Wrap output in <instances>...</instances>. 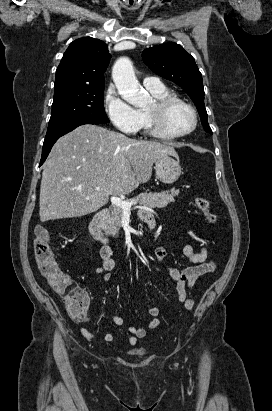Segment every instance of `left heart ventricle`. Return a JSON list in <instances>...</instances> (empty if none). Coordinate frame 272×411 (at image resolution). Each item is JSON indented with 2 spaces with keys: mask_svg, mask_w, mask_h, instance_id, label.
Here are the masks:
<instances>
[{
  "mask_svg": "<svg viewBox=\"0 0 272 411\" xmlns=\"http://www.w3.org/2000/svg\"><path fill=\"white\" fill-rule=\"evenodd\" d=\"M192 122L191 112L183 105H175L169 110L165 118V127L169 132L181 133L188 130Z\"/></svg>",
  "mask_w": 272,
  "mask_h": 411,
  "instance_id": "left-heart-ventricle-1",
  "label": "left heart ventricle"
}]
</instances>
